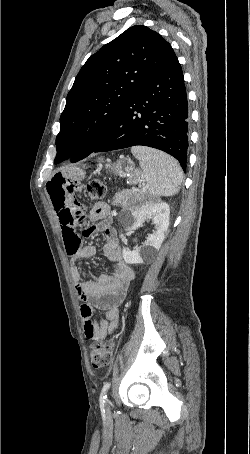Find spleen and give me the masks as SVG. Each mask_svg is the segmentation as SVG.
I'll use <instances>...</instances> for the list:
<instances>
[{"mask_svg":"<svg viewBox=\"0 0 250 454\" xmlns=\"http://www.w3.org/2000/svg\"><path fill=\"white\" fill-rule=\"evenodd\" d=\"M131 152L139 160L151 196H172L178 193L183 174L173 157L143 146H134Z\"/></svg>","mask_w":250,"mask_h":454,"instance_id":"spleen-1","label":"spleen"}]
</instances>
